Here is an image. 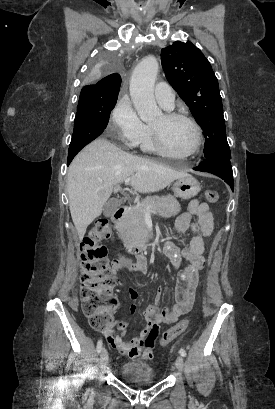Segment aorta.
I'll use <instances>...</instances> for the list:
<instances>
[{
  "mask_svg": "<svg viewBox=\"0 0 275 409\" xmlns=\"http://www.w3.org/2000/svg\"><path fill=\"white\" fill-rule=\"evenodd\" d=\"M157 57V52L152 51L149 56L142 58L135 66L130 80L132 102L141 120L145 122L156 120L163 114L154 96V82L159 70Z\"/></svg>",
  "mask_w": 275,
  "mask_h": 409,
  "instance_id": "obj_1",
  "label": "aorta"
}]
</instances>
